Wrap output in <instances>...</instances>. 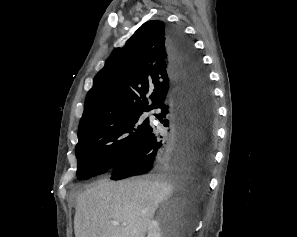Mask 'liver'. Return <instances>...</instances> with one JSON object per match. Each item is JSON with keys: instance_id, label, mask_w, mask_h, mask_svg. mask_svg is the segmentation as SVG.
<instances>
[{"instance_id": "1", "label": "liver", "mask_w": 297, "mask_h": 237, "mask_svg": "<svg viewBox=\"0 0 297 237\" xmlns=\"http://www.w3.org/2000/svg\"><path fill=\"white\" fill-rule=\"evenodd\" d=\"M190 176H145L119 182L99 180L77 197L76 237H145L159 204ZM117 221L119 225H113ZM126 223V225H123Z\"/></svg>"}]
</instances>
